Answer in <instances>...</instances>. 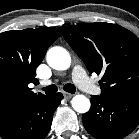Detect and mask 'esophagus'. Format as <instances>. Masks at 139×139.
I'll use <instances>...</instances> for the list:
<instances>
[{
  "label": "esophagus",
  "mask_w": 139,
  "mask_h": 139,
  "mask_svg": "<svg viewBox=\"0 0 139 139\" xmlns=\"http://www.w3.org/2000/svg\"><path fill=\"white\" fill-rule=\"evenodd\" d=\"M63 95H64V97H65L66 99H70V98L73 97V94L68 93V92H64Z\"/></svg>",
  "instance_id": "34e87169"
}]
</instances>
